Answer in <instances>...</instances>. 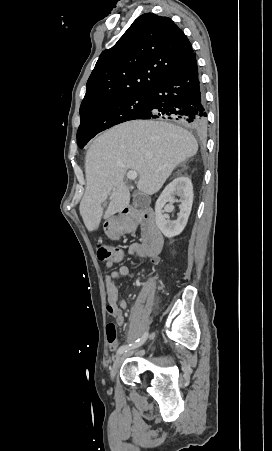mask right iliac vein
Wrapping results in <instances>:
<instances>
[{
  "label": "right iliac vein",
  "mask_w": 272,
  "mask_h": 451,
  "mask_svg": "<svg viewBox=\"0 0 272 451\" xmlns=\"http://www.w3.org/2000/svg\"><path fill=\"white\" fill-rule=\"evenodd\" d=\"M134 353L133 350H129L124 352L123 354L119 355L117 357V359L115 360L112 369H111V377L114 378V376L116 375L118 369L120 368V366L122 365L123 361L125 360L126 357L132 355Z\"/></svg>",
  "instance_id": "right-iliac-vein-1"
}]
</instances>
